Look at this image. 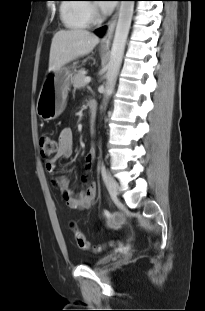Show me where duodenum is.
Returning a JSON list of instances; mask_svg holds the SVG:
<instances>
[{
    "label": "duodenum",
    "mask_w": 205,
    "mask_h": 311,
    "mask_svg": "<svg viewBox=\"0 0 205 311\" xmlns=\"http://www.w3.org/2000/svg\"><path fill=\"white\" fill-rule=\"evenodd\" d=\"M96 108H97L96 102H91L90 103V110H91V112H94L96 110Z\"/></svg>",
    "instance_id": "410a0bca"
}]
</instances>
